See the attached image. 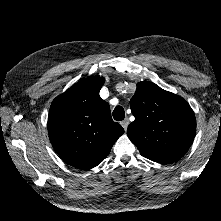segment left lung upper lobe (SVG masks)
I'll return each mask as SVG.
<instances>
[{"mask_svg":"<svg viewBox=\"0 0 221 221\" xmlns=\"http://www.w3.org/2000/svg\"><path fill=\"white\" fill-rule=\"evenodd\" d=\"M130 107L135 120L127 135L143 157L168 164L184 156L193 142L196 120L182 97L143 81L137 84Z\"/></svg>","mask_w":221,"mask_h":221,"instance_id":"5c2ea615","label":"left lung upper lobe"}]
</instances>
